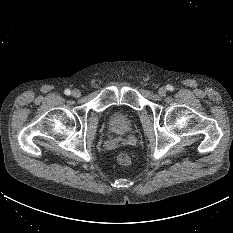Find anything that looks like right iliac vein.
I'll use <instances>...</instances> for the list:
<instances>
[{
    "mask_svg": "<svg viewBox=\"0 0 233 233\" xmlns=\"http://www.w3.org/2000/svg\"><path fill=\"white\" fill-rule=\"evenodd\" d=\"M80 95H81V92L78 89H74L72 91V96L73 97H80Z\"/></svg>",
    "mask_w": 233,
    "mask_h": 233,
    "instance_id": "right-iliac-vein-1",
    "label": "right iliac vein"
}]
</instances>
